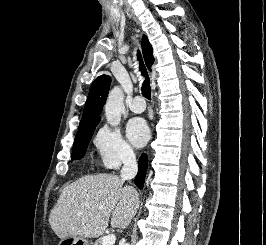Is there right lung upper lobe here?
Wrapping results in <instances>:
<instances>
[{
  "mask_svg": "<svg viewBox=\"0 0 266 245\" xmlns=\"http://www.w3.org/2000/svg\"><path fill=\"white\" fill-rule=\"evenodd\" d=\"M142 52L146 65L150 70V67L154 62L152 54L153 50L151 44L145 36L142 38ZM110 84L111 78L108 75H101L92 83L80 125L100 119V114L107 99Z\"/></svg>",
  "mask_w": 266,
  "mask_h": 245,
  "instance_id": "1",
  "label": "right lung upper lobe"
}]
</instances>
